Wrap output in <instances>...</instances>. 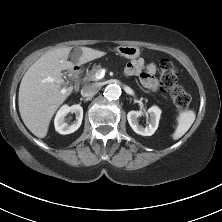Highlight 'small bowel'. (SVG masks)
Masks as SVG:
<instances>
[{"instance_id":"obj_1","label":"small bowel","mask_w":222,"mask_h":222,"mask_svg":"<svg viewBox=\"0 0 222 222\" xmlns=\"http://www.w3.org/2000/svg\"><path fill=\"white\" fill-rule=\"evenodd\" d=\"M156 69L154 63L146 64L142 58H138L127 64L125 74L138 76L145 88L156 92L159 89V82L155 78Z\"/></svg>"}]
</instances>
